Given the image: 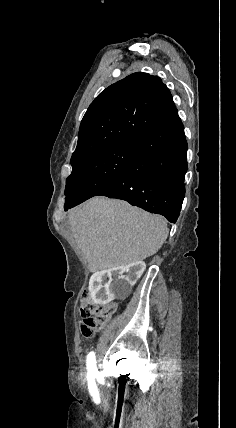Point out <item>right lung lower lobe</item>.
Returning a JSON list of instances; mask_svg holds the SVG:
<instances>
[{
  "mask_svg": "<svg viewBox=\"0 0 236 428\" xmlns=\"http://www.w3.org/2000/svg\"><path fill=\"white\" fill-rule=\"evenodd\" d=\"M137 140V154L96 196L123 199L175 223L187 171V142L178 113Z\"/></svg>",
  "mask_w": 236,
  "mask_h": 428,
  "instance_id": "right-lung-lower-lobe-1",
  "label": "right lung lower lobe"
}]
</instances>
